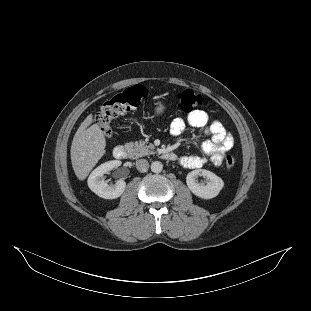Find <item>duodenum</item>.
I'll return each instance as SVG.
<instances>
[{"label": "duodenum", "mask_w": 311, "mask_h": 311, "mask_svg": "<svg viewBox=\"0 0 311 311\" xmlns=\"http://www.w3.org/2000/svg\"><path fill=\"white\" fill-rule=\"evenodd\" d=\"M128 155L129 152L123 145H117L113 149V156L118 160L126 159ZM163 158L166 160H175L176 155L172 152H166L163 154Z\"/></svg>", "instance_id": "1"}]
</instances>
